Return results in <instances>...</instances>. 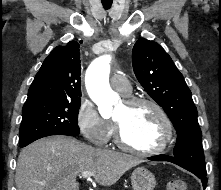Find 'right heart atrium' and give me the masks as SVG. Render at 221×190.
Here are the masks:
<instances>
[{"mask_svg": "<svg viewBox=\"0 0 221 190\" xmlns=\"http://www.w3.org/2000/svg\"><path fill=\"white\" fill-rule=\"evenodd\" d=\"M76 122L82 135L93 145L105 147L110 142L114 131L112 123L103 118L88 99L80 102Z\"/></svg>", "mask_w": 221, "mask_h": 190, "instance_id": "d8ad5b80", "label": "right heart atrium"}]
</instances>
